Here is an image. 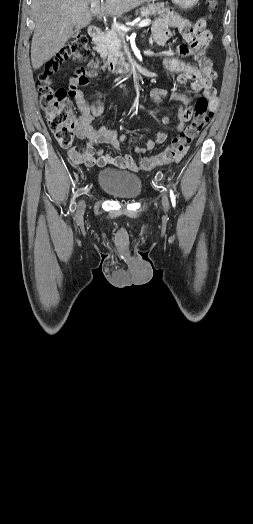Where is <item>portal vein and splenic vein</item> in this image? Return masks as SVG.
<instances>
[{"label":"portal vein and splenic vein","mask_w":253,"mask_h":524,"mask_svg":"<svg viewBox=\"0 0 253 524\" xmlns=\"http://www.w3.org/2000/svg\"><path fill=\"white\" fill-rule=\"evenodd\" d=\"M99 5H100V3L92 2V3L90 4V7H91V9L93 10V9H97V8L99 7ZM150 24H151V19L146 18V19L140 21V22L137 24V26H138V27H145V26H148V25H150ZM112 27H114V28H116V29H118V30L124 31V32H127V31L130 30V28H128V27H126V26H124V25H122V24H119V23H113V24H112Z\"/></svg>","instance_id":"18ae733b"}]
</instances>
